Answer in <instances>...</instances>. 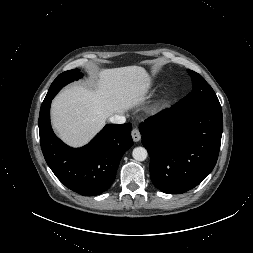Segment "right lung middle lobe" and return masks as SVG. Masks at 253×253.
<instances>
[{
  "instance_id": "right-lung-middle-lobe-1",
  "label": "right lung middle lobe",
  "mask_w": 253,
  "mask_h": 253,
  "mask_svg": "<svg viewBox=\"0 0 253 253\" xmlns=\"http://www.w3.org/2000/svg\"><path fill=\"white\" fill-rule=\"evenodd\" d=\"M82 76L83 74L80 73L79 69H73L61 73L51 84L45 99L55 96L63 86L73 80H78Z\"/></svg>"
}]
</instances>
